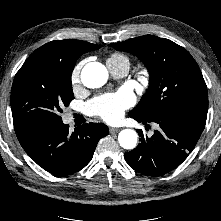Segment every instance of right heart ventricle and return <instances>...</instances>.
<instances>
[{"instance_id":"1","label":"right heart ventricle","mask_w":221,"mask_h":221,"mask_svg":"<svg viewBox=\"0 0 221 221\" xmlns=\"http://www.w3.org/2000/svg\"><path fill=\"white\" fill-rule=\"evenodd\" d=\"M107 62H110L112 64H118V63H127L130 66V61L129 59L120 53H113L109 56L107 59Z\"/></svg>"}]
</instances>
